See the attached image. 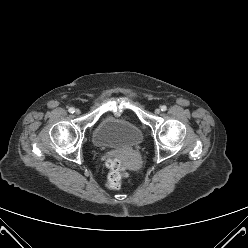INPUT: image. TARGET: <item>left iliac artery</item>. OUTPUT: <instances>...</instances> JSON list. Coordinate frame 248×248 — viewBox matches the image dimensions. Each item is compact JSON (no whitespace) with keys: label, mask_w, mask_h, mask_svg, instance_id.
Returning <instances> with one entry per match:
<instances>
[{"label":"left iliac artery","mask_w":248,"mask_h":248,"mask_svg":"<svg viewBox=\"0 0 248 248\" xmlns=\"http://www.w3.org/2000/svg\"><path fill=\"white\" fill-rule=\"evenodd\" d=\"M160 108H161V111H166L167 110V107L165 105H162Z\"/></svg>","instance_id":"1"}]
</instances>
